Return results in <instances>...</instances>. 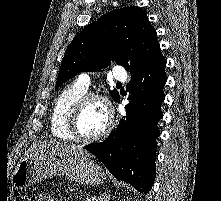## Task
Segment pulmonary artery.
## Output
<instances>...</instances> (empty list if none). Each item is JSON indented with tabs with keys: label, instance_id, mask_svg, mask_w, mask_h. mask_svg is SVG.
<instances>
[{
	"label": "pulmonary artery",
	"instance_id": "1",
	"mask_svg": "<svg viewBox=\"0 0 221 201\" xmlns=\"http://www.w3.org/2000/svg\"><path fill=\"white\" fill-rule=\"evenodd\" d=\"M113 77L114 79L118 80V81H126L127 79V72L123 67H116L113 71ZM78 85H80L81 87L88 89L90 86V77L88 74H80L77 82Z\"/></svg>",
	"mask_w": 221,
	"mask_h": 201
}]
</instances>
